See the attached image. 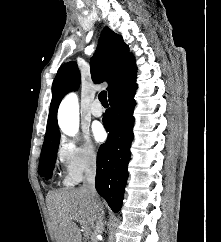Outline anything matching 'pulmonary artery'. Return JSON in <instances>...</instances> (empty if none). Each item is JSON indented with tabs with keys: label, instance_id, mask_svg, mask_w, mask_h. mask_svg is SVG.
<instances>
[{
	"label": "pulmonary artery",
	"instance_id": "obj_1",
	"mask_svg": "<svg viewBox=\"0 0 221 242\" xmlns=\"http://www.w3.org/2000/svg\"><path fill=\"white\" fill-rule=\"evenodd\" d=\"M90 113L94 117H101L103 114V108L101 107V104L99 100H95L90 108Z\"/></svg>",
	"mask_w": 221,
	"mask_h": 242
}]
</instances>
